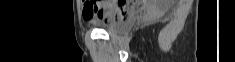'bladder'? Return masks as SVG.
Masks as SVG:
<instances>
[{"label": "bladder", "instance_id": "bladder-1", "mask_svg": "<svg viewBox=\"0 0 235 62\" xmlns=\"http://www.w3.org/2000/svg\"><path fill=\"white\" fill-rule=\"evenodd\" d=\"M137 21V15L131 14L124 20L109 23L103 26V29L110 34L124 33L130 30Z\"/></svg>", "mask_w": 235, "mask_h": 62}]
</instances>
